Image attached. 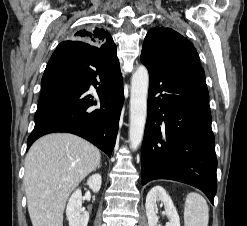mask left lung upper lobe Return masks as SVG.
I'll list each match as a JSON object with an SVG mask.
<instances>
[{"mask_svg": "<svg viewBox=\"0 0 247 226\" xmlns=\"http://www.w3.org/2000/svg\"><path fill=\"white\" fill-rule=\"evenodd\" d=\"M141 56L167 66L200 64L193 44L175 30L165 27H155L147 33Z\"/></svg>", "mask_w": 247, "mask_h": 226, "instance_id": "left-lung-upper-lobe-1", "label": "left lung upper lobe"}]
</instances>
